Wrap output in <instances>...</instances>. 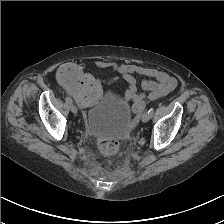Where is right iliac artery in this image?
I'll use <instances>...</instances> for the list:
<instances>
[{
  "instance_id": "right-iliac-artery-1",
  "label": "right iliac artery",
  "mask_w": 224,
  "mask_h": 224,
  "mask_svg": "<svg viewBox=\"0 0 224 224\" xmlns=\"http://www.w3.org/2000/svg\"><path fill=\"white\" fill-rule=\"evenodd\" d=\"M65 101H66L67 103H69V104L72 103V99H71L70 97H66V98H65Z\"/></svg>"
}]
</instances>
